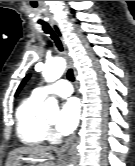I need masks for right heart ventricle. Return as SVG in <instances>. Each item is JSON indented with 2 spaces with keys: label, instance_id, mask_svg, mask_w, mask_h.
<instances>
[{
  "label": "right heart ventricle",
  "instance_id": "1",
  "mask_svg": "<svg viewBox=\"0 0 135 166\" xmlns=\"http://www.w3.org/2000/svg\"><path fill=\"white\" fill-rule=\"evenodd\" d=\"M43 99L33 94L25 98L16 110V131L22 144L29 147L41 146L48 138V129L38 116Z\"/></svg>",
  "mask_w": 135,
  "mask_h": 166
}]
</instances>
